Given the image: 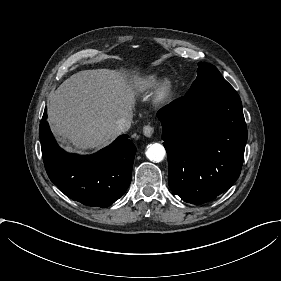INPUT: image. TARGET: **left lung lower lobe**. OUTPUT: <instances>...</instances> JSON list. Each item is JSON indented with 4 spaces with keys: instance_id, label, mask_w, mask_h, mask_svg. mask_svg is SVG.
<instances>
[{
    "instance_id": "1",
    "label": "left lung lower lobe",
    "mask_w": 281,
    "mask_h": 281,
    "mask_svg": "<svg viewBox=\"0 0 281 281\" xmlns=\"http://www.w3.org/2000/svg\"><path fill=\"white\" fill-rule=\"evenodd\" d=\"M157 117L174 194L200 205L235 183L243 163L247 127L234 88L185 95L160 109Z\"/></svg>"
}]
</instances>
